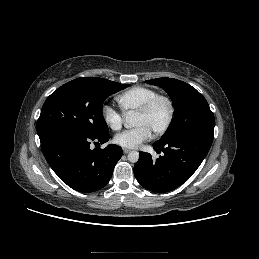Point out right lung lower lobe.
<instances>
[{
    "mask_svg": "<svg viewBox=\"0 0 259 259\" xmlns=\"http://www.w3.org/2000/svg\"><path fill=\"white\" fill-rule=\"evenodd\" d=\"M42 152L58 177L79 192H94L111 179L122 156V148L109 144L104 149H91L90 144L106 143L110 134L88 135L61 129L39 136Z\"/></svg>",
    "mask_w": 259,
    "mask_h": 259,
    "instance_id": "98d812e1",
    "label": "right lung lower lobe"
}]
</instances>
